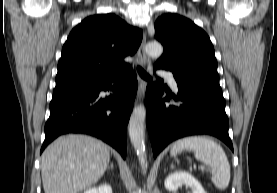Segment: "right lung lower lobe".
<instances>
[{
	"mask_svg": "<svg viewBox=\"0 0 277 193\" xmlns=\"http://www.w3.org/2000/svg\"><path fill=\"white\" fill-rule=\"evenodd\" d=\"M137 86L136 75L129 68L93 82L56 86L41 152L59 135L85 133L102 139L125 159L126 127ZM107 90L115 94L106 99L99 96Z\"/></svg>",
	"mask_w": 277,
	"mask_h": 193,
	"instance_id": "1",
	"label": "right lung lower lobe"
}]
</instances>
